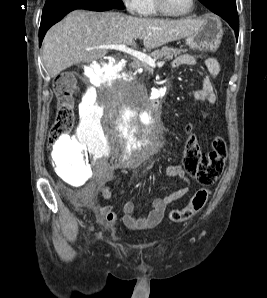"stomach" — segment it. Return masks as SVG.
Listing matches in <instances>:
<instances>
[{
	"label": "stomach",
	"mask_w": 267,
	"mask_h": 298,
	"mask_svg": "<svg viewBox=\"0 0 267 298\" xmlns=\"http://www.w3.org/2000/svg\"><path fill=\"white\" fill-rule=\"evenodd\" d=\"M203 25L199 30L186 37V44L200 51H215L218 49L223 36L222 23L219 19L211 16H205Z\"/></svg>",
	"instance_id": "1"
}]
</instances>
